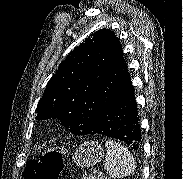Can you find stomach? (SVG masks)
Returning a JSON list of instances; mask_svg holds the SVG:
<instances>
[{
    "label": "stomach",
    "mask_w": 183,
    "mask_h": 179,
    "mask_svg": "<svg viewBox=\"0 0 183 179\" xmlns=\"http://www.w3.org/2000/svg\"><path fill=\"white\" fill-rule=\"evenodd\" d=\"M103 154V148L97 142H84L76 150L73 160L78 166L89 167L98 164L102 160Z\"/></svg>",
    "instance_id": "stomach-1"
}]
</instances>
